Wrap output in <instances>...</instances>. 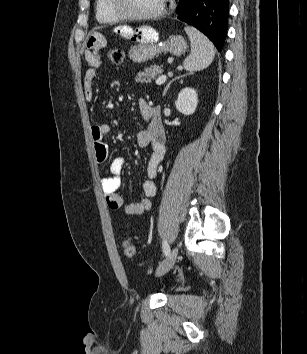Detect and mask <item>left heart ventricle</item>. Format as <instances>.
I'll use <instances>...</instances> for the list:
<instances>
[{"instance_id": "b2bd125f", "label": "left heart ventricle", "mask_w": 307, "mask_h": 354, "mask_svg": "<svg viewBox=\"0 0 307 354\" xmlns=\"http://www.w3.org/2000/svg\"><path fill=\"white\" fill-rule=\"evenodd\" d=\"M163 0H122L123 8L135 14L151 13L162 5Z\"/></svg>"}]
</instances>
